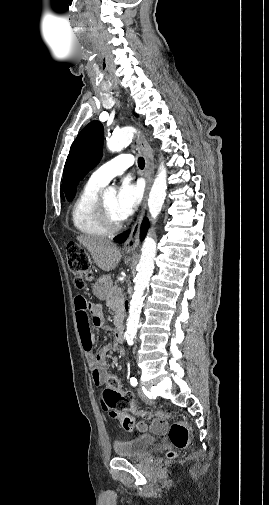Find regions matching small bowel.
<instances>
[{
	"label": "small bowel",
	"instance_id": "c3829d8e",
	"mask_svg": "<svg viewBox=\"0 0 269 505\" xmlns=\"http://www.w3.org/2000/svg\"><path fill=\"white\" fill-rule=\"evenodd\" d=\"M75 308L81 342L91 364L92 379L96 385H102L108 375L106 363L108 348L102 349L97 353L93 352L94 336L92 327L106 330L108 328L107 324L102 316L100 306L94 304L91 298L76 297ZM167 426V420L164 417H158L150 422L145 420L139 421L137 429L140 432L150 429L154 433L164 434Z\"/></svg>",
	"mask_w": 269,
	"mask_h": 505
}]
</instances>
